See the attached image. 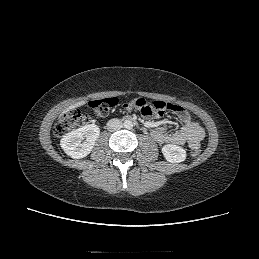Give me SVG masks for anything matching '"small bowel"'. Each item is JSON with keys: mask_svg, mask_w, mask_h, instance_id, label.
<instances>
[{"mask_svg": "<svg viewBox=\"0 0 259 259\" xmlns=\"http://www.w3.org/2000/svg\"><path fill=\"white\" fill-rule=\"evenodd\" d=\"M182 122L181 129L170 133L165 126L153 125L151 128L152 137L160 144H188L190 148L197 149L205 137L202 126L193 121L189 113L181 106L175 105L171 110Z\"/></svg>", "mask_w": 259, "mask_h": 259, "instance_id": "obj_1", "label": "small bowel"}]
</instances>
